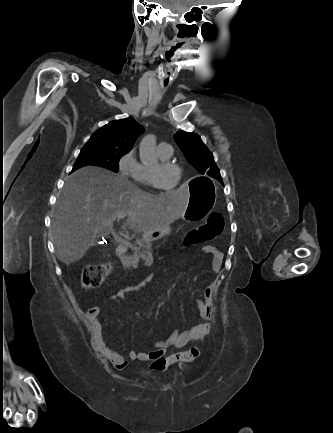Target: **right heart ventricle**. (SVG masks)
<instances>
[{
    "instance_id": "right-heart-ventricle-1",
    "label": "right heart ventricle",
    "mask_w": 333,
    "mask_h": 433,
    "mask_svg": "<svg viewBox=\"0 0 333 433\" xmlns=\"http://www.w3.org/2000/svg\"><path fill=\"white\" fill-rule=\"evenodd\" d=\"M159 158L161 160H168L169 159V157H165L161 154H159ZM149 171H150V169L147 166L141 165L140 174H139L137 181L141 184H144L147 186H152L153 184H152L151 179H150Z\"/></svg>"
}]
</instances>
